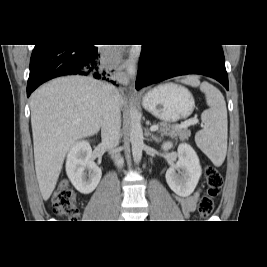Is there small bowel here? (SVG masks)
Returning a JSON list of instances; mask_svg holds the SVG:
<instances>
[{
	"label": "small bowel",
	"instance_id": "1",
	"mask_svg": "<svg viewBox=\"0 0 267 267\" xmlns=\"http://www.w3.org/2000/svg\"><path fill=\"white\" fill-rule=\"evenodd\" d=\"M199 194V191H196L186 197L176 196V201L179 204L185 217H189V215L195 210Z\"/></svg>",
	"mask_w": 267,
	"mask_h": 267
}]
</instances>
